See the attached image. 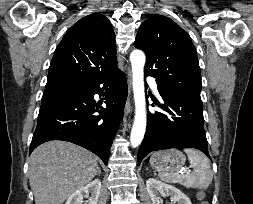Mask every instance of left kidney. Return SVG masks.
<instances>
[{
    "label": "left kidney",
    "mask_w": 253,
    "mask_h": 204,
    "mask_svg": "<svg viewBox=\"0 0 253 204\" xmlns=\"http://www.w3.org/2000/svg\"><path fill=\"white\" fill-rule=\"evenodd\" d=\"M146 188L152 204H161L163 200L160 196H170L171 201L175 204H192L190 199L179 189L172 185L162 183L157 179H148L146 181Z\"/></svg>",
    "instance_id": "5707ae66"
}]
</instances>
